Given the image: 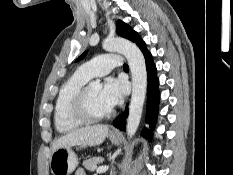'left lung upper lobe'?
<instances>
[{"mask_svg": "<svg viewBox=\"0 0 233 175\" xmlns=\"http://www.w3.org/2000/svg\"><path fill=\"white\" fill-rule=\"evenodd\" d=\"M116 31L120 36L136 43L139 48H141L145 44L140 38V36L138 35V33L134 31L128 24L122 22L121 20H118L116 22ZM85 55H86V52L83 53L78 58V60L82 59Z\"/></svg>", "mask_w": 233, "mask_h": 175, "instance_id": "obj_1", "label": "left lung upper lobe"}]
</instances>
